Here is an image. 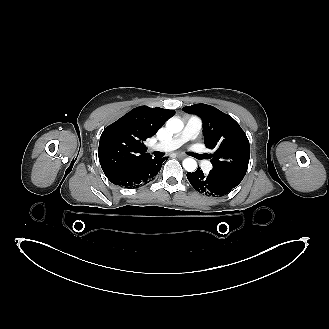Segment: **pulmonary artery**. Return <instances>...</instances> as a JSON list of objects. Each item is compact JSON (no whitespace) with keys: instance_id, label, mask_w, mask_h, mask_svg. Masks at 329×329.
Instances as JSON below:
<instances>
[{"instance_id":"obj_1","label":"pulmonary artery","mask_w":329,"mask_h":329,"mask_svg":"<svg viewBox=\"0 0 329 329\" xmlns=\"http://www.w3.org/2000/svg\"><path fill=\"white\" fill-rule=\"evenodd\" d=\"M202 127V120L197 117V116H191L183 130L175 135L174 137L165 140L163 142H160L156 145V149L161 150V151H172L177 148H179L181 145L186 143L187 141L194 140L198 133L200 132ZM203 168L206 171H210L212 169V164L209 162H204L203 163Z\"/></svg>"}]
</instances>
